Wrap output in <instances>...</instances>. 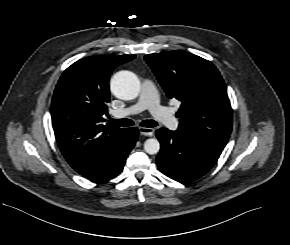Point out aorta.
<instances>
[{"label": "aorta", "instance_id": "aorta-1", "mask_svg": "<svg viewBox=\"0 0 290 245\" xmlns=\"http://www.w3.org/2000/svg\"><path fill=\"white\" fill-rule=\"evenodd\" d=\"M112 93L122 100L135 99L140 92V81L130 71H120L111 79ZM144 150L150 155L157 154L160 150V143L156 138L147 139L144 142Z\"/></svg>", "mask_w": 290, "mask_h": 245}]
</instances>
